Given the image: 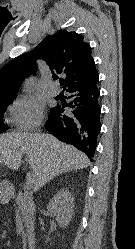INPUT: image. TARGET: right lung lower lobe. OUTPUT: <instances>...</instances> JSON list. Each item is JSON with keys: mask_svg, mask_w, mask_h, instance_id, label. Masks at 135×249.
<instances>
[{"mask_svg": "<svg viewBox=\"0 0 135 249\" xmlns=\"http://www.w3.org/2000/svg\"><path fill=\"white\" fill-rule=\"evenodd\" d=\"M98 78L96 73L69 86L66 91L70 93V104L53 107L46 123L48 132L83 151L91 161L101 129ZM66 106L72 108L71 113H65Z\"/></svg>", "mask_w": 135, "mask_h": 249, "instance_id": "obj_1", "label": "right lung lower lobe"}]
</instances>
